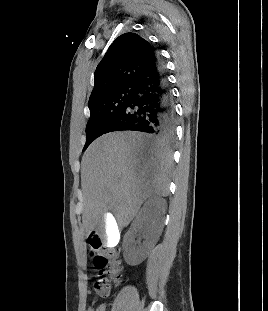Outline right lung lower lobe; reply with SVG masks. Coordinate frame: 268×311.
<instances>
[{"label": "right lung lower lobe", "instance_id": "1", "mask_svg": "<svg viewBox=\"0 0 268 311\" xmlns=\"http://www.w3.org/2000/svg\"><path fill=\"white\" fill-rule=\"evenodd\" d=\"M133 88L131 99L108 132L141 131L171 142L176 128V114L164 67L158 56L155 64Z\"/></svg>", "mask_w": 268, "mask_h": 311}]
</instances>
